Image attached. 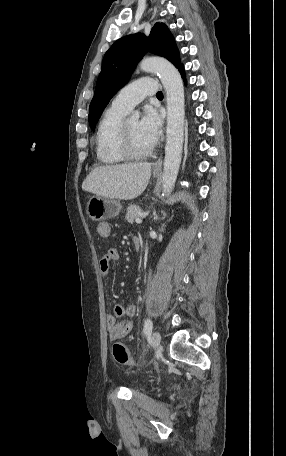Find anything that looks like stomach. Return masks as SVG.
I'll list each match as a JSON object with an SVG mask.
<instances>
[{"mask_svg": "<svg viewBox=\"0 0 286 456\" xmlns=\"http://www.w3.org/2000/svg\"><path fill=\"white\" fill-rule=\"evenodd\" d=\"M157 176V173H154ZM122 209L120 201L116 198L93 196L87 203V214L94 221L114 218Z\"/></svg>", "mask_w": 286, "mask_h": 456, "instance_id": "1", "label": "stomach"}]
</instances>
